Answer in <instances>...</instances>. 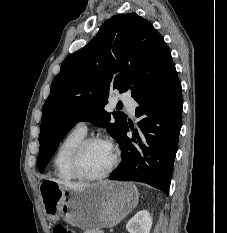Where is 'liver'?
<instances>
[{
  "label": "liver",
  "mask_w": 227,
  "mask_h": 233,
  "mask_svg": "<svg viewBox=\"0 0 227 233\" xmlns=\"http://www.w3.org/2000/svg\"><path fill=\"white\" fill-rule=\"evenodd\" d=\"M49 180L54 181L57 184L65 186L70 189H80V188H83L89 185L87 183H75V182H68V181L59 180V179H49Z\"/></svg>",
  "instance_id": "1"
}]
</instances>
